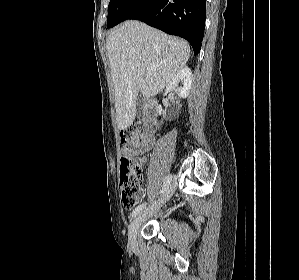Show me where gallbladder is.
<instances>
[{
    "mask_svg": "<svg viewBox=\"0 0 299 280\" xmlns=\"http://www.w3.org/2000/svg\"><path fill=\"white\" fill-rule=\"evenodd\" d=\"M144 103H145V97L140 93L137 96V100H136V113L139 118L143 117L142 109H143Z\"/></svg>",
    "mask_w": 299,
    "mask_h": 280,
    "instance_id": "bac80fb5",
    "label": "gallbladder"
}]
</instances>
